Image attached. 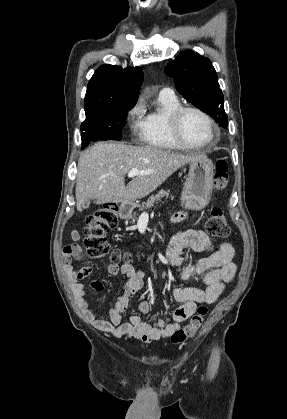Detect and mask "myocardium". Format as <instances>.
I'll return each instance as SVG.
<instances>
[{
    "mask_svg": "<svg viewBox=\"0 0 287 419\" xmlns=\"http://www.w3.org/2000/svg\"><path fill=\"white\" fill-rule=\"evenodd\" d=\"M195 112L202 116L207 122L211 137L203 144H192L184 139L180 130L181 118L186 112ZM169 129L175 140L182 146L190 149H203L213 145L219 139L218 128L213 119L202 109L191 105H180L172 110L168 115Z\"/></svg>",
    "mask_w": 287,
    "mask_h": 419,
    "instance_id": "1",
    "label": "myocardium"
}]
</instances>
